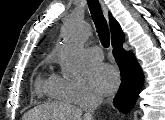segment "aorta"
<instances>
[{
    "label": "aorta",
    "mask_w": 165,
    "mask_h": 120,
    "mask_svg": "<svg viewBox=\"0 0 165 120\" xmlns=\"http://www.w3.org/2000/svg\"><path fill=\"white\" fill-rule=\"evenodd\" d=\"M87 38L88 30L84 22L75 17L69 18L60 50L61 67L68 76H76L83 70V45Z\"/></svg>",
    "instance_id": "762f6f07"
}]
</instances>
